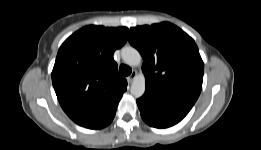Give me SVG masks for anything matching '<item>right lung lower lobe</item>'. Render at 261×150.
Wrapping results in <instances>:
<instances>
[{"mask_svg": "<svg viewBox=\"0 0 261 150\" xmlns=\"http://www.w3.org/2000/svg\"><path fill=\"white\" fill-rule=\"evenodd\" d=\"M116 108L117 106H115L107 115H105L103 118H101L100 120L86 126V128L89 129H100L103 127H106L107 125H109L111 123V121L113 120L115 113H116Z\"/></svg>", "mask_w": 261, "mask_h": 150, "instance_id": "1", "label": "right lung lower lobe"}]
</instances>
